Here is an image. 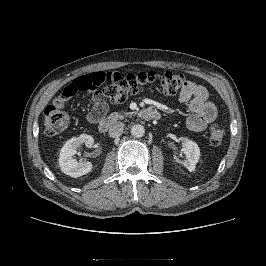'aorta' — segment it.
Instances as JSON below:
<instances>
[{"label":"aorta","instance_id":"aorta-1","mask_svg":"<svg viewBox=\"0 0 266 266\" xmlns=\"http://www.w3.org/2000/svg\"><path fill=\"white\" fill-rule=\"evenodd\" d=\"M131 134L132 136L136 137V138H140L143 137L145 134V128L143 125L141 124H134L131 127Z\"/></svg>","mask_w":266,"mask_h":266}]
</instances>
